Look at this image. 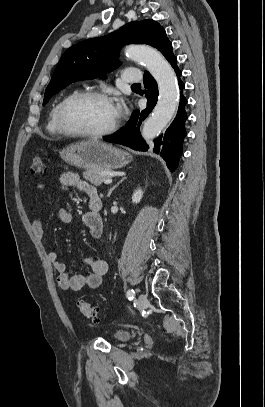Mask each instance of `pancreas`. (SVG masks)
<instances>
[{
	"instance_id": "1",
	"label": "pancreas",
	"mask_w": 265,
	"mask_h": 407,
	"mask_svg": "<svg viewBox=\"0 0 265 407\" xmlns=\"http://www.w3.org/2000/svg\"><path fill=\"white\" fill-rule=\"evenodd\" d=\"M83 178L91 184L100 186L105 179L110 178L109 175L104 174L102 170L91 169L83 172Z\"/></svg>"
}]
</instances>
